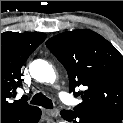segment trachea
Listing matches in <instances>:
<instances>
[{"label":"trachea","mask_w":123,"mask_h":123,"mask_svg":"<svg viewBox=\"0 0 123 123\" xmlns=\"http://www.w3.org/2000/svg\"><path fill=\"white\" fill-rule=\"evenodd\" d=\"M31 104L35 105H40L43 106L44 108L52 109L53 108V103L50 99L45 97L43 94L38 93L34 95L32 100L30 101Z\"/></svg>","instance_id":"1"}]
</instances>
